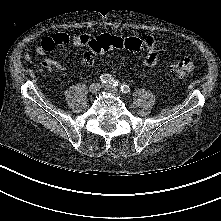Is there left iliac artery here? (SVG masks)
<instances>
[{"instance_id": "44dca946", "label": "left iliac artery", "mask_w": 221, "mask_h": 221, "mask_svg": "<svg viewBox=\"0 0 221 221\" xmlns=\"http://www.w3.org/2000/svg\"><path fill=\"white\" fill-rule=\"evenodd\" d=\"M113 86H117L118 85V81H115L112 83ZM120 89L123 93H128L130 91V87L126 84V83H122L120 85Z\"/></svg>"}]
</instances>
